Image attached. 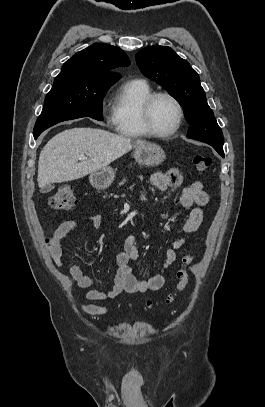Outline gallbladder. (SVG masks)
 I'll return each mask as SVG.
<instances>
[{"mask_svg": "<svg viewBox=\"0 0 265 407\" xmlns=\"http://www.w3.org/2000/svg\"><path fill=\"white\" fill-rule=\"evenodd\" d=\"M53 188H54V185L49 184V185H46V186L42 187V188L40 189V192H41V193H48V192H50Z\"/></svg>", "mask_w": 265, "mask_h": 407, "instance_id": "bac80fb5", "label": "gallbladder"}]
</instances>
